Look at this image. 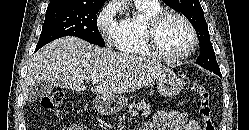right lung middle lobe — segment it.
<instances>
[{"instance_id":"right-lung-middle-lobe-1","label":"right lung middle lobe","mask_w":249,"mask_h":130,"mask_svg":"<svg viewBox=\"0 0 249 130\" xmlns=\"http://www.w3.org/2000/svg\"><path fill=\"white\" fill-rule=\"evenodd\" d=\"M98 5L55 3L48 5L36 50L64 36L79 37L91 44L105 46L97 27Z\"/></svg>"}]
</instances>
